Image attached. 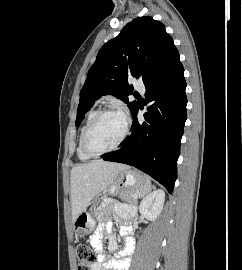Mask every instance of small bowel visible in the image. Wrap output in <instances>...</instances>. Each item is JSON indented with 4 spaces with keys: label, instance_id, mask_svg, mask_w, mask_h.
<instances>
[{
    "label": "small bowel",
    "instance_id": "c3829d8e",
    "mask_svg": "<svg viewBox=\"0 0 242 270\" xmlns=\"http://www.w3.org/2000/svg\"><path fill=\"white\" fill-rule=\"evenodd\" d=\"M112 211L122 221L120 234L124 238V248L116 255V259L106 256L103 249V238H106V247L110 251H115L118 244L112 232L113 222L111 220H101L97 230L90 239L92 247L98 254V260L91 266L90 270H126L129 267V257L134 250V240L131 237L130 226L134 213L124 205H114Z\"/></svg>",
    "mask_w": 242,
    "mask_h": 270
}]
</instances>
